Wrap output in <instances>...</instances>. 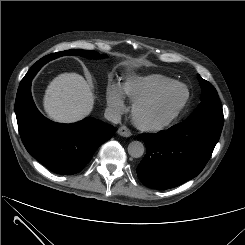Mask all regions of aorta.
I'll return each mask as SVG.
<instances>
[{
    "mask_svg": "<svg viewBox=\"0 0 245 245\" xmlns=\"http://www.w3.org/2000/svg\"><path fill=\"white\" fill-rule=\"evenodd\" d=\"M128 153L131 157L139 158L144 153V145L140 141H132L128 145Z\"/></svg>",
    "mask_w": 245,
    "mask_h": 245,
    "instance_id": "1",
    "label": "aorta"
}]
</instances>
